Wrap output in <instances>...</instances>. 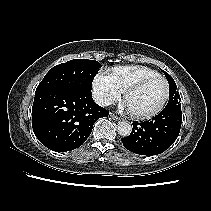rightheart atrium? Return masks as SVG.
Segmentation results:
<instances>
[{
	"instance_id": "1",
	"label": "right heart atrium",
	"mask_w": 211,
	"mask_h": 211,
	"mask_svg": "<svg viewBox=\"0 0 211 211\" xmlns=\"http://www.w3.org/2000/svg\"><path fill=\"white\" fill-rule=\"evenodd\" d=\"M92 91L95 100L102 106L115 103L122 95V91L112 74L105 70L99 71L94 77Z\"/></svg>"
}]
</instances>
